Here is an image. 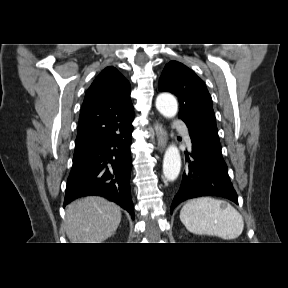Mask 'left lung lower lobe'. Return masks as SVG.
I'll list each match as a JSON object with an SVG mask.
<instances>
[{
    "label": "left lung lower lobe",
    "mask_w": 288,
    "mask_h": 288,
    "mask_svg": "<svg viewBox=\"0 0 288 288\" xmlns=\"http://www.w3.org/2000/svg\"><path fill=\"white\" fill-rule=\"evenodd\" d=\"M194 161L183 173L181 187L174 196L171 213L179 203L200 196L215 195L238 203V197L230 181L227 165L221 155V146L189 129ZM188 157V155H187Z\"/></svg>",
    "instance_id": "left-lung-lower-lobe-1"
}]
</instances>
